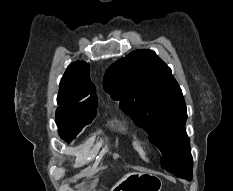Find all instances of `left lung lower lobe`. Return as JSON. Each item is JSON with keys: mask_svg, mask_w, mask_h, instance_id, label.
<instances>
[{"mask_svg": "<svg viewBox=\"0 0 233 191\" xmlns=\"http://www.w3.org/2000/svg\"><path fill=\"white\" fill-rule=\"evenodd\" d=\"M176 176H177V175H176ZM178 177L191 180V179H192V172H187V173H185V174L179 175Z\"/></svg>", "mask_w": 233, "mask_h": 191, "instance_id": "1", "label": "left lung lower lobe"}]
</instances>
